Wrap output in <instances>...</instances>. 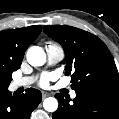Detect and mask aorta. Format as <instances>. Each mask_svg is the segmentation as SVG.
Returning <instances> with one entry per match:
<instances>
[{
	"mask_svg": "<svg viewBox=\"0 0 119 119\" xmlns=\"http://www.w3.org/2000/svg\"><path fill=\"white\" fill-rule=\"evenodd\" d=\"M27 61L32 66H42L46 62V54L39 46H32L27 51ZM43 107L48 112H55L58 108V101L53 97L46 98Z\"/></svg>",
	"mask_w": 119,
	"mask_h": 119,
	"instance_id": "762f6f07",
	"label": "aorta"
}]
</instances>
